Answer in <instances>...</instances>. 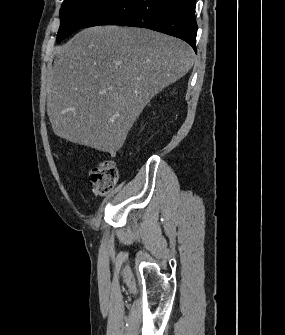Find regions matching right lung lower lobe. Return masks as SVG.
Returning a JSON list of instances; mask_svg holds the SVG:
<instances>
[{"mask_svg":"<svg viewBox=\"0 0 285 335\" xmlns=\"http://www.w3.org/2000/svg\"><path fill=\"white\" fill-rule=\"evenodd\" d=\"M196 0H115L83 27L122 25L165 33L187 42L196 51Z\"/></svg>","mask_w":285,"mask_h":335,"instance_id":"obj_1","label":"right lung lower lobe"}]
</instances>
